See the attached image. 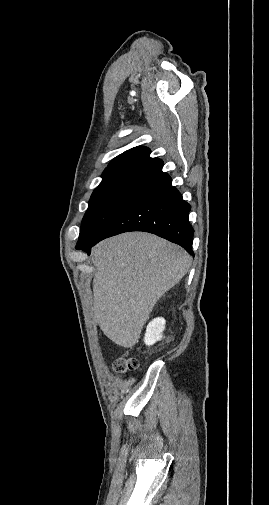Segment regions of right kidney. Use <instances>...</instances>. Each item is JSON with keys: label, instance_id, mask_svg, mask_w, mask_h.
<instances>
[{"label": "right kidney", "instance_id": "right-kidney-1", "mask_svg": "<svg viewBox=\"0 0 269 505\" xmlns=\"http://www.w3.org/2000/svg\"><path fill=\"white\" fill-rule=\"evenodd\" d=\"M165 329V319L164 318H156L152 320L146 329L145 334V344L153 345L156 341L162 338V333Z\"/></svg>", "mask_w": 269, "mask_h": 505}]
</instances>
